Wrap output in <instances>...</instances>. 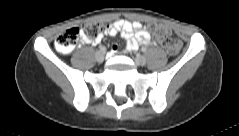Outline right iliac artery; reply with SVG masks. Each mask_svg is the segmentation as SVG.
<instances>
[{"label":"right iliac artery","instance_id":"82829eb1","mask_svg":"<svg viewBox=\"0 0 239 136\" xmlns=\"http://www.w3.org/2000/svg\"><path fill=\"white\" fill-rule=\"evenodd\" d=\"M100 51L106 52V48L105 47H100Z\"/></svg>","mask_w":239,"mask_h":136}]
</instances>
